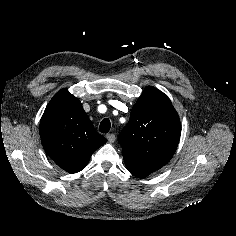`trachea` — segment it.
Segmentation results:
<instances>
[{
	"label": "trachea",
	"instance_id": "3493384b",
	"mask_svg": "<svg viewBox=\"0 0 236 236\" xmlns=\"http://www.w3.org/2000/svg\"><path fill=\"white\" fill-rule=\"evenodd\" d=\"M111 128V122L108 118H105L101 121L99 126V131L101 133H108Z\"/></svg>",
	"mask_w": 236,
	"mask_h": 236
}]
</instances>
